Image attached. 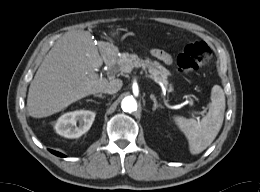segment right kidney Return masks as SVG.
<instances>
[{"label":"right kidney","instance_id":"ca27d5eb","mask_svg":"<svg viewBox=\"0 0 260 192\" xmlns=\"http://www.w3.org/2000/svg\"><path fill=\"white\" fill-rule=\"evenodd\" d=\"M94 118L95 113L92 111L68 112L58 119L55 129L59 135L66 138H78L90 129Z\"/></svg>","mask_w":260,"mask_h":192}]
</instances>
